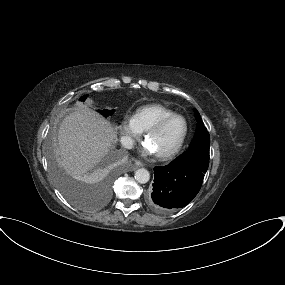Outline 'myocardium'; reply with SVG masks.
<instances>
[{"mask_svg":"<svg viewBox=\"0 0 285 285\" xmlns=\"http://www.w3.org/2000/svg\"><path fill=\"white\" fill-rule=\"evenodd\" d=\"M177 118L182 119V121L184 123V132H183L178 144L175 146V148H173L171 151H169L167 153L155 154V156L160 160H163V161L170 160L174 156H176L179 153V151L181 150V148L185 142V139L187 137V134H188V123H187L185 117H183L182 115H179V114H173V115L164 117L145 132L144 141L147 142L148 139L152 135L159 132L167 123H169L173 119H177Z\"/></svg>","mask_w":285,"mask_h":285,"instance_id":"1","label":"myocardium"}]
</instances>
